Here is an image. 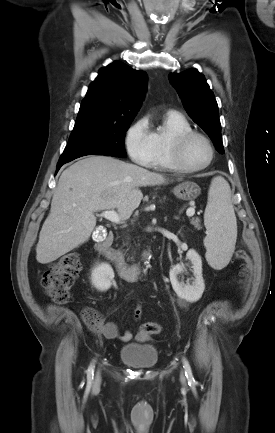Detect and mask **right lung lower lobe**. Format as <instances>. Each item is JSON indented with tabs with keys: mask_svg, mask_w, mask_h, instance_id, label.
I'll list each match as a JSON object with an SVG mask.
<instances>
[{
	"mask_svg": "<svg viewBox=\"0 0 275 433\" xmlns=\"http://www.w3.org/2000/svg\"><path fill=\"white\" fill-rule=\"evenodd\" d=\"M63 164H64V163L57 164V171L60 169V167H61Z\"/></svg>",
	"mask_w": 275,
	"mask_h": 433,
	"instance_id": "1",
	"label": "right lung lower lobe"
}]
</instances>
